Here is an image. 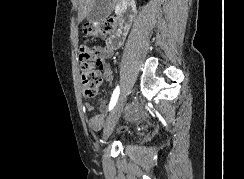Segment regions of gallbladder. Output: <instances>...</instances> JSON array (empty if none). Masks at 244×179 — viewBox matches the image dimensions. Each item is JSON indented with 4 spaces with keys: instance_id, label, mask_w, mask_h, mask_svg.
<instances>
[{
    "instance_id": "1",
    "label": "gallbladder",
    "mask_w": 244,
    "mask_h": 179,
    "mask_svg": "<svg viewBox=\"0 0 244 179\" xmlns=\"http://www.w3.org/2000/svg\"><path fill=\"white\" fill-rule=\"evenodd\" d=\"M113 12V0H95L87 18L89 22L105 20Z\"/></svg>"
}]
</instances>
